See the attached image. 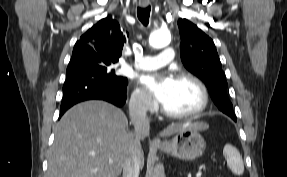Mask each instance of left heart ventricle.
I'll list each match as a JSON object with an SVG mask.
<instances>
[{
  "label": "left heart ventricle",
  "instance_id": "1",
  "mask_svg": "<svg viewBox=\"0 0 287 177\" xmlns=\"http://www.w3.org/2000/svg\"><path fill=\"white\" fill-rule=\"evenodd\" d=\"M201 96L197 87L188 81H177L162 104L171 112H192L200 104Z\"/></svg>",
  "mask_w": 287,
  "mask_h": 177
}]
</instances>
